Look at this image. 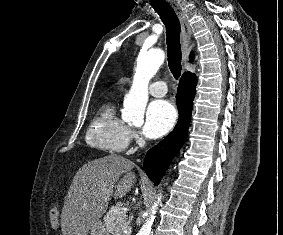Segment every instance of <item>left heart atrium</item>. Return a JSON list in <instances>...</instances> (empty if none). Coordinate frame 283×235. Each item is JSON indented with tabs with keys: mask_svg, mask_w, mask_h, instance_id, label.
<instances>
[{
	"mask_svg": "<svg viewBox=\"0 0 283 235\" xmlns=\"http://www.w3.org/2000/svg\"><path fill=\"white\" fill-rule=\"evenodd\" d=\"M176 121V111L166 100H156L149 104L146 115L144 134L149 138H158L171 130Z\"/></svg>",
	"mask_w": 283,
	"mask_h": 235,
	"instance_id": "obj_1",
	"label": "left heart atrium"
}]
</instances>
